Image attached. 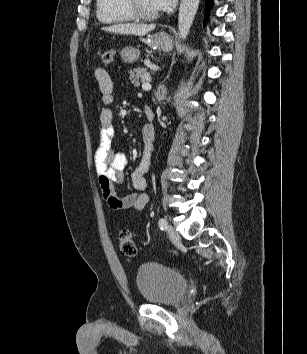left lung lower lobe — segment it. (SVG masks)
Instances as JSON below:
<instances>
[{
  "label": "left lung lower lobe",
  "mask_w": 307,
  "mask_h": 354,
  "mask_svg": "<svg viewBox=\"0 0 307 354\" xmlns=\"http://www.w3.org/2000/svg\"><path fill=\"white\" fill-rule=\"evenodd\" d=\"M207 1V8H210L211 7V1L212 0H206Z\"/></svg>",
  "instance_id": "left-lung-lower-lobe-1"
}]
</instances>
